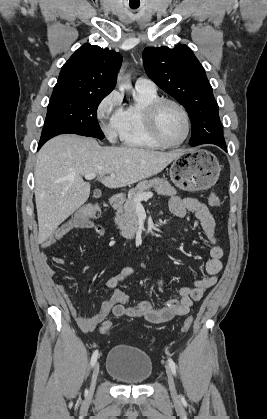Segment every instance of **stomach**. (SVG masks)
<instances>
[{
  "instance_id": "0dacf381",
  "label": "stomach",
  "mask_w": 267,
  "mask_h": 419,
  "mask_svg": "<svg viewBox=\"0 0 267 419\" xmlns=\"http://www.w3.org/2000/svg\"><path fill=\"white\" fill-rule=\"evenodd\" d=\"M220 170L219 161L213 153L192 149L173 160L170 178L184 191L207 190L217 182Z\"/></svg>"
}]
</instances>
